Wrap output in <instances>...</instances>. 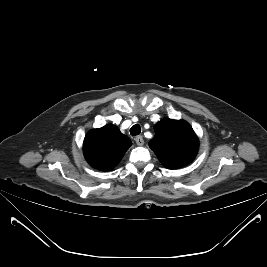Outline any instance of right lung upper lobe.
Here are the masks:
<instances>
[{"label": "right lung upper lobe", "mask_w": 267, "mask_h": 267, "mask_svg": "<svg viewBox=\"0 0 267 267\" xmlns=\"http://www.w3.org/2000/svg\"><path fill=\"white\" fill-rule=\"evenodd\" d=\"M130 146V139L110 124L89 131L84 139L83 151L92 167L109 171L120 162Z\"/></svg>", "instance_id": "1"}]
</instances>
